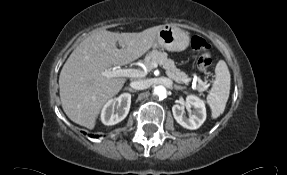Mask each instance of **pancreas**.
<instances>
[{
	"instance_id": "obj_1",
	"label": "pancreas",
	"mask_w": 287,
	"mask_h": 175,
	"mask_svg": "<svg viewBox=\"0 0 287 175\" xmlns=\"http://www.w3.org/2000/svg\"><path fill=\"white\" fill-rule=\"evenodd\" d=\"M154 63L159 64L166 70V74L169 78L174 80L177 83H189L188 76L181 71L180 69L176 68L174 61L167 57L166 52H161L156 49L152 50L144 59V64L147 69L150 71L152 69V65ZM207 85L206 83H202L196 86V89L199 92L206 90Z\"/></svg>"
}]
</instances>
